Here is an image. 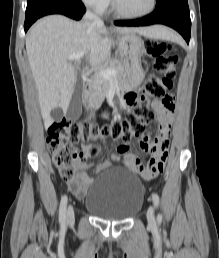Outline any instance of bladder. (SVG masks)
Segmentation results:
<instances>
[{
    "instance_id": "1",
    "label": "bladder",
    "mask_w": 219,
    "mask_h": 258,
    "mask_svg": "<svg viewBox=\"0 0 219 258\" xmlns=\"http://www.w3.org/2000/svg\"><path fill=\"white\" fill-rule=\"evenodd\" d=\"M143 199L140 178L129 170L114 168L93 179L83 203L95 216L120 221L132 217Z\"/></svg>"
}]
</instances>
